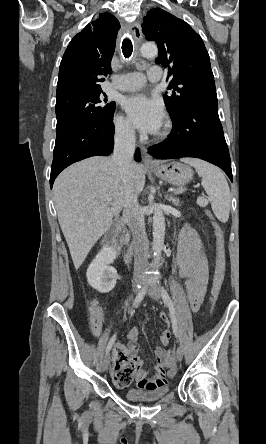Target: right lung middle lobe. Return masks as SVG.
<instances>
[{
  "label": "right lung middle lobe",
  "mask_w": 266,
  "mask_h": 444,
  "mask_svg": "<svg viewBox=\"0 0 266 444\" xmlns=\"http://www.w3.org/2000/svg\"><path fill=\"white\" fill-rule=\"evenodd\" d=\"M106 102L102 89L72 92L56 98V141L74 130L111 121L115 103Z\"/></svg>",
  "instance_id": "obj_1"
}]
</instances>
